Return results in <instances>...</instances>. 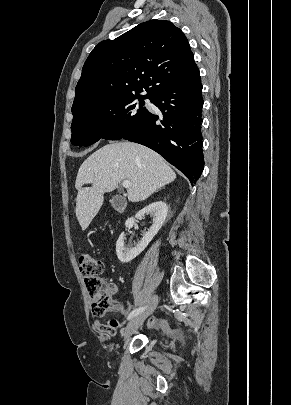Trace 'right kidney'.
<instances>
[{"instance_id": "1", "label": "right kidney", "mask_w": 291, "mask_h": 405, "mask_svg": "<svg viewBox=\"0 0 291 405\" xmlns=\"http://www.w3.org/2000/svg\"><path fill=\"white\" fill-rule=\"evenodd\" d=\"M145 214H150L153 217V224L150 227V229H148V231L145 232L143 238L135 247L130 249H126L124 247V233H122L117 240L116 253L118 259L122 263L130 262L148 246V244L151 242L153 237L158 233L163 223L165 222V219L168 214V207L165 202L157 201L140 210L135 217L139 218L144 216ZM134 222L135 219L133 217L127 219L125 222L126 228L129 229L132 228Z\"/></svg>"}]
</instances>
